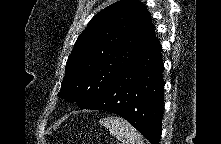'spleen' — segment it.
Returning <instances> with one entry per match:
<instances>
[{
    "instance_id": "1",
    "label": "spleen",
    "mask_w": 221,
    "mask_h": 144,
    "mask_svg": "<svg viewBox=\"0 0 221 144\" xmlns=\"http://www.w3.org/2000/svg\"><path fill=\"white\" fill-rule=\"evenodd\" d=\"M100 124L123 144H144L143 136L121 117H106L100 120Z\"/></svg>"
}]
</instances>
